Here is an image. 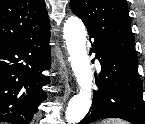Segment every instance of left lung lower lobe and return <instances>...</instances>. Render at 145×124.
Masks as SVG:
<instances>
[{"label": "left lung lower lobe", "instance_id": "obj_1", "mask_svg": "<svg viewBox=\"0 0 145 124\" xmlns=\"http://www.w3.org/2000/svg\"><path fill=\"white\" fill-rule=\"evenodd\" d=\"M91 52L101 64L96 79L92 108L79 124H90L102 118H121L132 124H145V104L138 61L89 36ZM94 61V60H93Z\"/></svg>", "mask_w": 145, "mask_h": 124}]
</instances>
